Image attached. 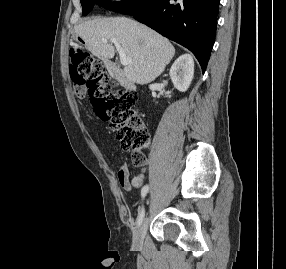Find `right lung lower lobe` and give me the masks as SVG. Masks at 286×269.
Instances as JSON below:
<instances>
[{
    "label": "right lung lower lobe",
    "instance_id": "obj_1",
    "mask_svg": "<svg viewBox=\"0 0 286 269\" xmlns=\"http://www.w3.org/2000/svg\"><path fill=\"white\" fill-rule=\"evenodd\" d=\"M157 0L134 18L188 48L203 73L215 42L220 0Z\"/></svg>",
    "mask_w": 286,
    "mask_h": 269
}]
</instances>
